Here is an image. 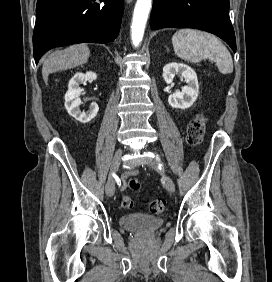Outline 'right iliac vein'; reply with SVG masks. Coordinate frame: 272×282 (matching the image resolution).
<instances>
[{"label":"right iliac vein","instance_id":"1","mask_svg":"<svg viewBox=\"0 0 272 282\" xmlns=\"http://www.w3.org/2000/svg\"><path fill=\"white\" fill-rule=\"evenodd\" d=\"M123 155V149L119 148L112 160L111 164V173L108 177L107 184H106V194L107 196H113L115 193V180L113 174L118 170L120 163H121V158Z\"/></svg>","mask_w":272,"mask_h":282}]
</instances>
